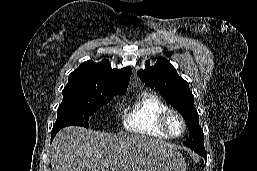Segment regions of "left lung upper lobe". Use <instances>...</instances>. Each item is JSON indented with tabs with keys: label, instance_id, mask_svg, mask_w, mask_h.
Segmentation results:
<instances>
[{
	"label": "left lung upper lobe",
	"instance_id": "1",
	"mask_svg": "<svg viewBox=\"0 0 257 171\" xmlns=\"http://www.w3.org/2000/svg\"><path fill=\"white\" fill-rule=\"evenodd\" d=\"M137 74L146 85L160 91L161 96L182 114L190 134L184 144L193 150L204 148V134L198 122L194 96L188 83L178 75L169 61L159 57L154 66H150V61H147L145 69L139 70Z\"/></svg>",
	"mask_w": 257,
	"mask_h": 171
}]
</instances>
